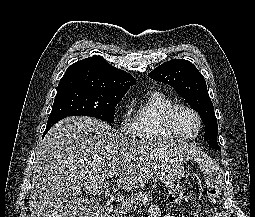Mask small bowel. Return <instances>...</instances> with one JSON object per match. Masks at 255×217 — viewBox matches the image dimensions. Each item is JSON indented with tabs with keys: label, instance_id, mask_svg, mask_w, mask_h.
I'll use <instances>...</instances> for the list:
<instances>
[{
	"label": "small bowel",
	"instance_id": "small-bowel-1",
	"mask_svg": "<svg viewBox=\"0 0 255 217\" xmlns=\"http://www.w3.org/2000/svg\"><path fill=\"white\" fill-rule=\"evenodd\" d=\"M148 217H161L160 208L157 205L152 204L148 209ZM163 217H175V216L171 214H166ZM212 217H220V215L218 213H215L213 214Z\"/></svg>",
	"mask_w": 255,
	"mask_h": 217
}]
</instances>
